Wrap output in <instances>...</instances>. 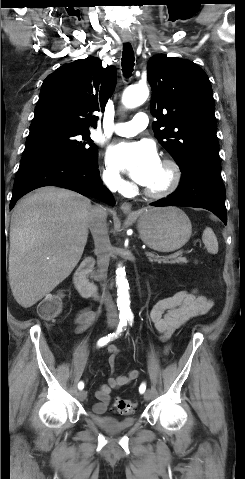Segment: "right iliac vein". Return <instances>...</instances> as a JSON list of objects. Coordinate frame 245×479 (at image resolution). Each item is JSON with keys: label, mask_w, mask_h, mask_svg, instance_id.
<instances>
[{"label": "right iliac vein", "mask_w": 245, "mask_h": 479, "mask_svg": "<svg viewBox=\"0 0 245 479\" xmlns=\"http://www.w3.org/2000/svg\"><path fill=\"white\" fill-rule=\"evenodd\" d=\"M109 327H110V328L114 327V324H113V323H110V324H109ZM77 395H78L79 400L83 401V400L86 399L87 393H86V391L81 390V391L78 392Z\"/></svg>", "instance_id": "right-iliac-vein-1"}]
</instances>
